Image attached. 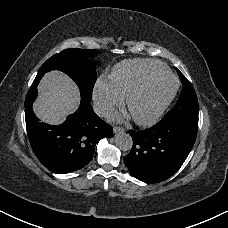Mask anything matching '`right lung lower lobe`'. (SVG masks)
<instances>
[{
  "mask_svg": "<svg viewBox=\"0 0 228 228\" xmlns=\"http://www.w3.org/2000/svg\"><path fill=\"white\" fill-rule=\"evenodd\" d=\"M38 83L34 80L25 100L31 147L40 162L54 173L79 170L91 161L96 142L104 137L111 138L113 129L94 113L90 102L84 100H81L78 110L59 126L39 122L32 110Z\"/></svg>",
  "mask_w": 228,
  "mask_h": 228,
  "instance_id": "1",
  "label": "right lung lower lobe"
}]
</instances>
